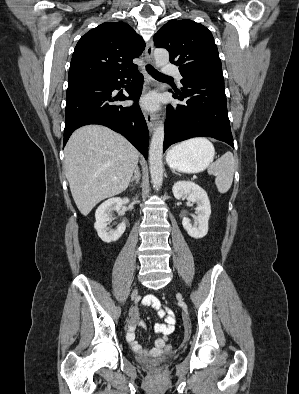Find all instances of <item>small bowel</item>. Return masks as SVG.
Here are the masks:
<instances>
[{"instance_id": "small-bowel-1", "label": "small bowel", "mask_w": 299, "mask_h": 394, "mask_svg": "<svg viewBox=\"0 0 299 394\" xmlns=\"http://www.w3.org/2000/svg\"><path fill=\"white\" fill-rule=\"evenodd\" d=\"M143 304L151 307L157 313L160 318H163L162 323H156L154 325V331L157 332L160 336L156 339L155 345L153 348H145L142 347L135 339V329L139 324L138 319V309L133 307L130 312V318L128 321L126 340L130 344L132 350L144 357H157L159 356L168 341L169 336L173 333L175 324H176V316L171 308L164 305L158 297L155 295H147L143 299Z\"/></svg>"}]
</instances>
